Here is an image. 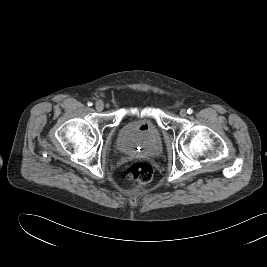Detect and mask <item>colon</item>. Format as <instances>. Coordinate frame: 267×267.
Instances as JSON below:
<instances>
[{"label":"colon","mask_w":267,"mask_h":267,"mask_svg":"<svg viewBox=\"0 0 267 267\" xmlns=\"http://www.w3.org/2000/svg\"><path fill=\"white\" fill-rule=\"evenodd\" d=\"M153 168L145 161H135L126 168V178L135 184H147L152 180Z\"/></svg>","instance_id":"5ec220e1"}]
</instances>
